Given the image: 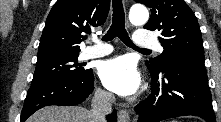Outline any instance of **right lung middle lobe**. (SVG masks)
<instances>
[{
	"label": "right lung middle lobe",
	"mask_w": 221,
	"mask_h": 122,
	"mask_svg": "<svg viewBox=\"0 0 221 122\" xmlns=\"http://www.w3.org/2000/svg\"><path fill=\"white\" fill-rule=\"evenodd\" d=\"M78 55H58L38 59L32 84L83 77L89 69H84L77 63Z\"/></svg>",
	"instance_id": "right-lung-middle-lobe-1"
}]
</instances>
